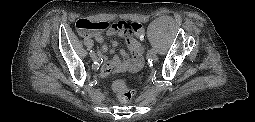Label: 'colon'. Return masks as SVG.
<instances>
[{
  "instance_id": "1",
  "label": "colon",
  "mask_w": 255,
  "mask_h": 122,
  "mask_svg": "<svg viewBox=\"0 0 255 122\" xmlns=\"http://www.w3.org/2000/svg\"><path fill=\"white\" fill-rule=\"evenodd\" d=\"M75 28L80 35H88L92 32L105 31L109 29L124 30L134 34L138 38L144 36L143 26L137 22L127 23L119 21L116 23H109L107 21H93L89 19H79L75 22ZM103 73H107L103 71ZM113 90L116 93L119 101L122 104H131L133 101V92L128 89L123 81H115Z\"/></svg>"
}]
</instances>
